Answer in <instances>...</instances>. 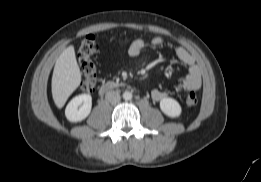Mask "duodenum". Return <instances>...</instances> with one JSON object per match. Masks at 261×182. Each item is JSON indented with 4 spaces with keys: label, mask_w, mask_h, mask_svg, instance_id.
<instances>
[{
    "label": "duodenum",
    "mask_w": 261,
    "mask_h": 182,
    "mask_svg": "<svg viewBox=\"0 0 261 182\" xmlns=\"http://www.w3.org/2000/svg\"><path fill=\"white\" fill-rule=\"evenodd\" d=\"M118 87V84L115 82H106L103 83L98 90L99 95H105L106 93H108L110 90L114 89Z\"/></svg>",
    "instance_id": "410a0bca"
}]
</instances>
